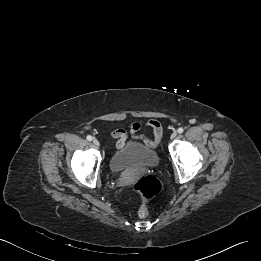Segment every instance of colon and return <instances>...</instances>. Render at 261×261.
<instances>
[{
    "mask_svg": "<svg viewBox=\"0 0 261 261\" xmlns=\"http://www.w3.org/2000/svg\"><path fill=\"white\" fill-rule=\"evenodd\" d=\"M132 189L139 193L142 197L143 203L138 209V216L140 218H146L149 215V210L145 202L151 200L161 191V183L153 176L145 175L139 178Z\"/></svg>",
    "mask_w": 261,
    "mask_h": 261,
    "instance_id": "5ec220e1",
    "label": "colon"
}]
</instances>
